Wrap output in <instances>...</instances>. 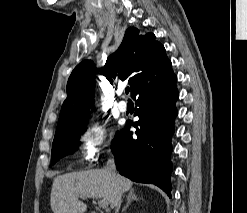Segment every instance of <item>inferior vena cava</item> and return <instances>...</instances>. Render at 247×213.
I'll list each match as a JSON object with an SVG mask.
<instances>
[{
  "label": "inferior vena cava",
  "instance_id": "inferior-vena-cava-1",
  "mask_svg": "<svg viewBox=\"0 0 247 213\" xmlns=\"http://www.w3.org/2000/svg\"><path fill=\"white\" fill-rule=\"evenodd\" d=\"M107 170L112 175V177H114V178L116 177V175H117L116 165H115L113 158L108 160ZM120 206H121V194H119L117 197V206H116V212L115 213L119 212Z\"/></svg>",
  "mask_w": 247,
  "mask_h": 213
}]
</instances>
